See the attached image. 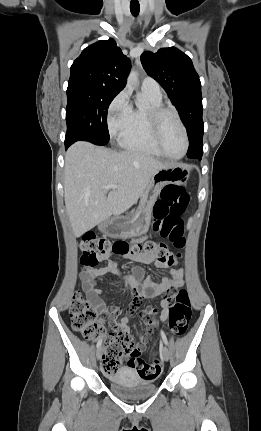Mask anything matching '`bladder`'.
Here are the masks:
<instances>
[{
	"instance_id": "31cf9c89",
	"label": "bladder",
	"mask_w": 261,
	"mask_h": 431,
	"mask_svg": "<svg viewBox=\"0 0 261 431\" xmlns=\"http://www.w3.org/2000/svg\"><path fill=\"white\" fill-rule=\"evenodd\" d=\"M110 389L127 399H139L152 395L156 390L153 380L141 378L132 368H121L109 377Z\"/></svg>"
}]
</instances>
